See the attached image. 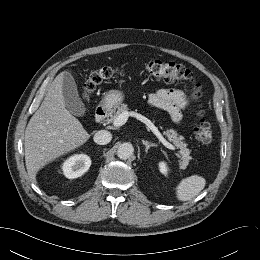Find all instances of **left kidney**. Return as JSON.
I'll list each match as a JSON object with an SVG mask.
<instances>
[{
	"instance_id": "1",
	"label": "left kidney",
	"mask_w": 260,
	"mask_h": 260,
	"mask_svg": "<svg viewBox=\"0 0 260 260\" xmlns=\"http://www.w3.org/2000/svg\"><path fill=\"white\" fill-rule=\"evenodd\" d=\"M159 170L162 174L167 175L168 168L165 162H160L159 163Z\"/></svg>"
}]
</instances>
